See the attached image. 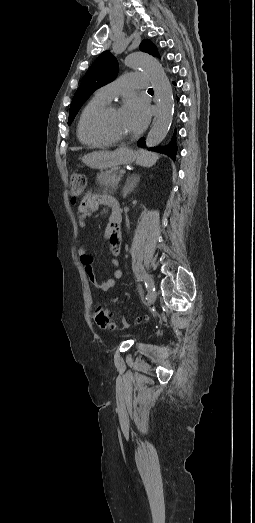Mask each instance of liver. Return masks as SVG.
Returning <instances> with one entry per match:
<instances>
[{
	"instance_id": "1",
	"label": "liver",
	"mask_w": 255,
	"mask_h": 523,
	"mask_svg": "<svg viewBox=\"0 0 255 523\" xmlns=\"http://www.w3.org/2000/svg\"><path fill=\"white\" fill-rule=\"evenodd\" d=\"M96 154H97V152H93V154H87V156H84V158H83L84 164H86V166H90V168H95ZM101 154H110V152H101Z\"/></svg>"
}]
</instances>
